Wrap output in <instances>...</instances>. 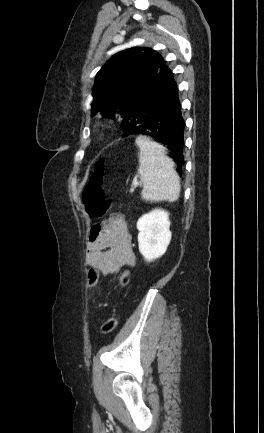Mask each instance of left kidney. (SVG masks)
<instances>
[{
  "mask_svg": "<svg viewBox=\"0 0 264 433\" xmlns=\"http://www.w3.org/2000/svg\"><path fill=\"white\" fill-rule=\"evenodd\" d=\"M139 251L151 262L161 257L171 240L169 213L155 209L141 216L137 222Z\"/></svg>",
  "mask_w": 264,
  "mask_h": 433,
  "instance_id": "obj_1",
  "label": "left kidney"
}]
</instances>
